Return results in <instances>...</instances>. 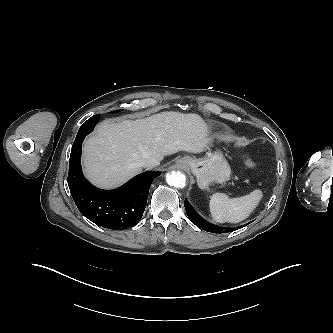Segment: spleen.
<instances>
[{"mask_svg":"<svg viewBox=\"0 0 333 333\" xmlns=\"http://www.w3.org/2000/svg\"><path fill=\"white\" fill-rule=\"evenodd\" d=\"M262 198L261 190H254L250 194L229 198L223 193L211 196L209 208L212 218L219 222L238 223L248 218Z\"/></svg>","mask_w":333,"mask_h":333,"instance_id":"1","label":"spleen"}]
</instances>
